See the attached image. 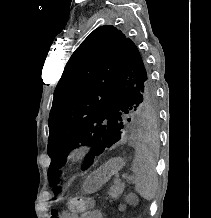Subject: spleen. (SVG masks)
Instances as JSON below:
<instances>
[{
    "mask_svg": "<svg viewBox=\"0 0 211 218\" xmlns=\"http://www.w3.org/2000/svg\"><path fill=\"white\" fill-rule=\"evenodd\" d=\"M155 168L156 164L150 152L136 150L135 158L132 162V172L135 174V190L145 200H153L157 192L158 184Z\"/></svg>",
    "mask_w": 211,
    "mask_h": 218,
    "instance_id": "obj_1",
    "label": "spleen"
}]
</instances>
